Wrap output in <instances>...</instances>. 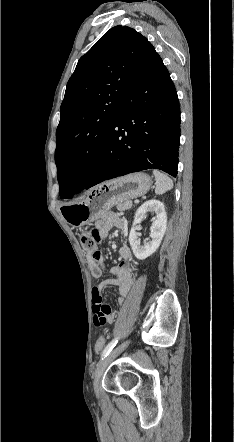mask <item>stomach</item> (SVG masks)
Returning <instances> with one entry per match:
<instances>
[{
    "mask_svg": "<svg viewBox=\"0 0 234 442\" xmlns=\"http://www.w3.org/2000/svg\"><path fill=\"white\" fill-rule=\"evenodd\" d=\"M151 184L146 173H132L94 187L82 201L63 206L61 213L72 226L93 222L114 205L146 194Z\"/></svg>",
    "mask_w": 234,
    "mask_h": 442,
    "instance_id": "1",
    "label": "stomach"
}]
</instances>
